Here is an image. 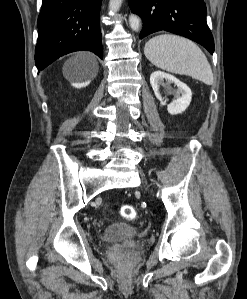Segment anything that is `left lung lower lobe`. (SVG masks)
<instances>
[{
    "instance_id": "obj_1",
    "label": "left lung lower lobe",
    "mask_w": 247,
    "mask_h": 299,
    "mask_svg": "<svg viewBox=\"0 0 247 299\" xmlns=\"http://www.w3.org/2000/svg\"><path fill=\"white\" fill-rule=\"evenodd\" d=\"M129 6L142 17L140 39L164 30L187 37L213 54L214 39L206 22L203 0H129Z\"/></svg>"
}]
</instances>
